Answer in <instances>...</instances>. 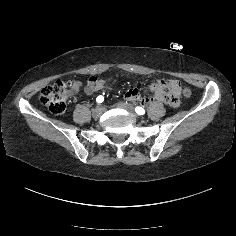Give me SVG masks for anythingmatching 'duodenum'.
<instances>
[{
	"mask_svg": "<svg viewBox=\"0 0 236 236\" xmlns=\"http://www.w3.org/2000/svg\"><path fill=\"white\" fill-rule=\"evenodd\" d=\"M165 102L168 105L175 107L178 103L177 95L175 93V87L169 83H160L157 86L156 92L154 95L145 98L143 100L144 105H150L155 102Z\"/></svg>",
	"mask_w": 236,
	"mask_h": 236,
	"instance_id": "duodenum-1",
	"label": "duodenum"
}]
</instances>
